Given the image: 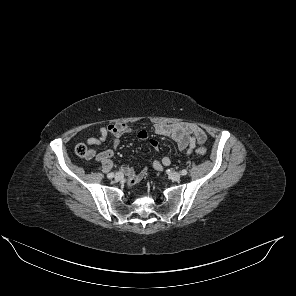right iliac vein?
<instances>
[{
  "label": "right iliac vein",
  "instance_id": "obj_1",
  "mask_svg": "<svg viewBox=\"0 0 296 296\" xmlns=\"http://www.w3.org/2000/svg\"><path fill=\"white\" fill-rule=\"evenodd\" d=\"M122 178H123V174L122 173H120V172L116 173V175H115V179L116 180H121Z\"/></svg>",
  "mask_w": 296,
  "mask_h": 296
}]
</instances>
